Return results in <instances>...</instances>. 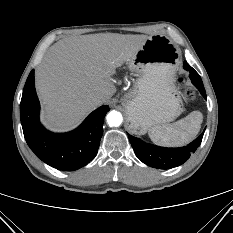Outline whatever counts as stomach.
<instances>
[{
  "mask_svg": "<svg viewBox=\"0 0 233 233\" xmlns=\"http://www.w3.org/2000/svg\"><path fill=\"white\" fill-rule=\"evenodd\" d=\"M180 56V50L167 36L152 35L127 62L137 76L132 90L122 98L131 132L145 134L183 112V102L174 84Z\"/></svg>",
  "mask_w": 233,
  "mask_h": 233,
  "instance_id": "obj_1",
  "label": "stomach"
}]
</instances>
